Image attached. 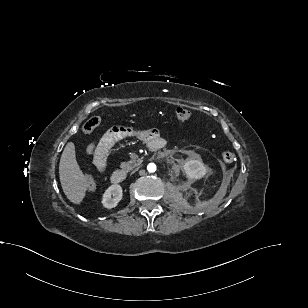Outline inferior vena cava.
<instances>
[{"label":"inferior vena cava","mask_w":308,"mask_h":308,"mask_svg":"<svg viewBox=\"0 0 308 308\" xmlns=\"http://www.w3.org/2000/svg\"><path fill=\"white\" fill-rule=\"evenodd\" d=\"M138 174V169H132L131 170V175H136Z\"/></svg>","instance_id":"1"}]
</instances>
